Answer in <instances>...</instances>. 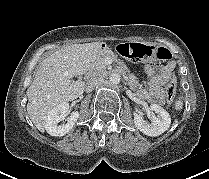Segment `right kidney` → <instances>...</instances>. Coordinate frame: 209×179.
I'll return each mask as SVG.
<instances>
[{"mask_svg":"<svg viewBox=\"0 0 209 179\" xmlns=\"http://www.w3.org/2000/svg\"><path fill=\"white\" fill-rule=\"evenodd\" d=\"M69 111V104H60L52 109L45 119V129L48 134L54 137H62L69 133L76 124L80 114L78 111L73 112L67 119L68 122L63 126H58L60 121L66 119Z\"/></svg>","mask_w":209,"mask_h":179,"instance_id":"right-kidney-1","label":"right kidney"}]
</instances>
